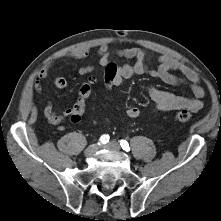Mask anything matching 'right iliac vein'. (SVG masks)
<instances>
[{
  "instance_id": "obj_1",
  "label": "right iliac vein",
  "mask_w": 221,
  "mask_h": 221,
  "mask_svg": "<svg viewBox=\"0 0 221 221\" xmlns=\"http://www.w3.org/2000/svg\"><path fill=\"white\" fill-rule=\"evenodd\" d=\"M99 146L94 144L89 146L87 149H85L84 154L86 156H92L96 153V151L98 150Z\"/></svg>"
}]
</instances>
